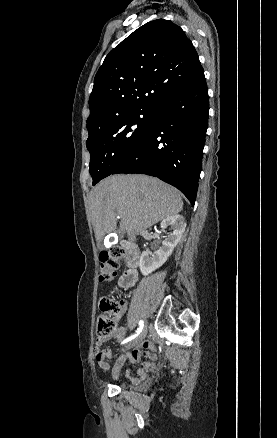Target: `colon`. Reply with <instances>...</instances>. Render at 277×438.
<instances>
[{"mask_svg":"<svg viewBox=\"0 0 277 438\" xmlns=\"http://www.w3.org/2000/svg\"><path fill=\"white\" fill-rule=\"evenodd\" d=\"M133 248H126L125 252L120 246H111L100 256L101 264L98 265V280L101 284L113 283L116 279V267L121 260L129 261L134 256ZM105 304L100 307V315L94 318V339L100 341L103 337L115 333V328H120L119 319L121 306L110 300L108 297L103 299Z\"/></svg>","mask_w":277,"mask_h":438,"instance_id":"colon-1","label":"colon"}]
</instances>
